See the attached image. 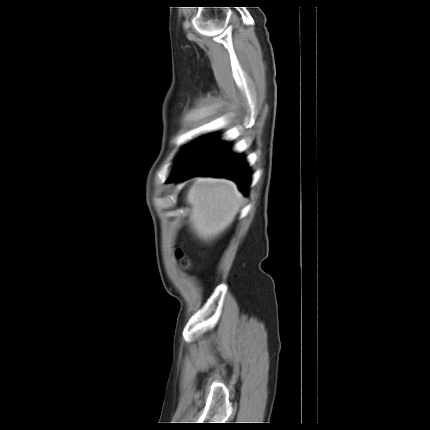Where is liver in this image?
Segmentation results:
<instances>
[{
    "label": "liver",
    "mask_w": 430,
    "mask_h": 430,
    "mask_svg": "<svg viewBox=\"0 0 430 430\" xmlns=\"http://www.w3.org/2000/svg\"><path fill=\"white\" fill-rule=\"evenodd\" d=\"M193 230L204 240L223 232L234 220L243 196L227 179L198 178L187 195Z\"/></svg>",
    "instance_id": "6515ba94"
}]
</instances>
